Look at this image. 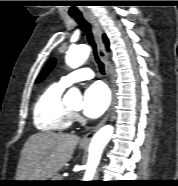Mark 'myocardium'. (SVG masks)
<instances>
[{
    "label": "myocardium",
    "mask_w": 178,
    "mask_h": 186,
    "mask_svg": "<svg viewBox=\"0 0 178 186\" xmlns=\"http://www.w3.org/2000/svg\"><path fill=\"white\" fill-rule=\"evenodd\" d=\"M68 112H69V114H70L71 116H73V115L75 114V112L72 111V110H70V109H68Z\"/></svg>",
    "instance_id": "f54148a6"
}]
</instances>
